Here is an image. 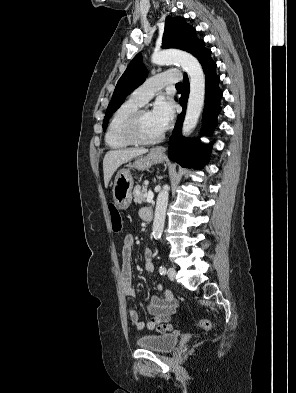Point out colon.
<instances>
[{
    "label": "colon",
    "instance_id": "1",
    "mask_svg": "<svg viewBox=\"0 0 296 393\" xmlns=\"http://www.w3.org/2000/svg\"><path fill=\"white\" fill-rule=\"evenodd\" d=\"M108 209H109L112 229L114 232L120 233L123 229V220L121 218V215L117 207L112 203L109 204ZM198 327L202 330H209L210 322L208 320H200L198 322Z\"/></svg>",
    "mask_w": 296,
    "mask_h": 393
}]
</instances>
